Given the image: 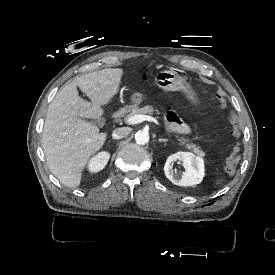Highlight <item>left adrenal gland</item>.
<instances>
[{"instance_id": "a2214340", "label": "left adrenal gland", "mask_w": 275, "mask_h": 275, "mask_svg": "<svg viewBox=\"0 0 275 275\" xmlns=\"http://www.w3.org/2000/svg\"><path fill=\"white\" fill-rule=\"evenodd\" d=\"M154 138H157V136L155 134L152 135ZM157 141L160 142H168V139H159L157 138Z\"/></svg>"}]
</instances>
